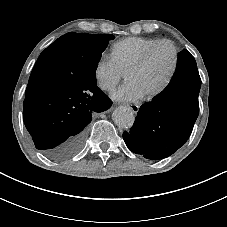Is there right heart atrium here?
I'll return each mask as SVG.
<instances>
[{"label":"right heart atrium","instance_id":"1","mask_svg":"<svg viewBox=\"0 0 227 227\" xmlns=\"http://www.w3.org/2000/svg\"><path fill=\"white\" fill-rule=\"evenodd\" d=\"M122 78V71L114 60L102 55L94 68V80L97 87L103 92H112Z\"/></svg>","mask_w":227,"mask_h":227}]
</instances>
